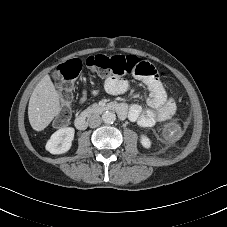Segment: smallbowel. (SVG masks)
I'll use <instances>...</instances> for the list:
<instances>
[{"label": "small bowel", "instance_id": "obj_1", "mask_svg": "<svg viewBox=\"0 0 227 227\" xmlns=\"http://www.w3.org/2000/svg\"><path fill=\"white\" fill-rule=\"evenodd\" d=\"M146 85L149 95L147 105L149 108L142 109L138 104H131L128 109V117L136 121L144 128L153 127L156 123L170 120L176 111L175 101L168 99L162 83L158 78H146L139 76ZM130 84L121 78H111L105 82L106 91L114 96L123 95L128 92ZM86 92L81 101L85 99Z\"/></svg>", "mask_w": 227, "mask_h": 227}]
</instances>
